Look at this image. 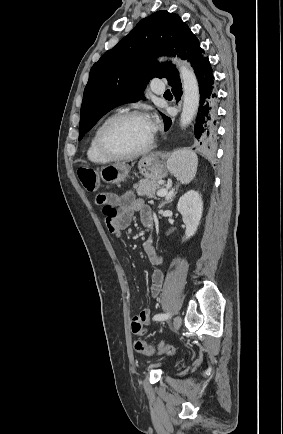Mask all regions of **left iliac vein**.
<instances>
[{
    "label": "left iliac vein",
    "mask_w": 283,
    "mask_h": 434,
    "mask_svg": "<svg viewBox=\"0 0 283 434\" xmlns=\"http://www.w3.org/2000/svg\"><path fill=\"white\" fill-rule=\"evenodd\" d=\"M182 324V319L180 316H176L173 322V330L176 332L180 329Z\"/></svg>",
    "instance_id": "4c4485c4"
}]
</instances>
